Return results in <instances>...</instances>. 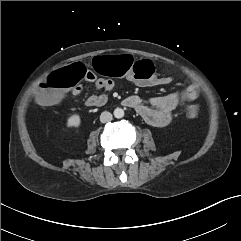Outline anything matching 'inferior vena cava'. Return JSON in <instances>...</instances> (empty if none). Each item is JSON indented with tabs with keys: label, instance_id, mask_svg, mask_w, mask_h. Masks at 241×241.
I'll list each match as a JSON object with an SVG mask.
<instances>
[{
	"label": "inferior vena cava",
	"instance_id": "inferior-vena-cava-1",
	"mask_svg": "<svg viewBox=\"0 0 241 241\" xmlns=\"http://www.w3.org/2000/svg\"><path fill=\"white\" fill-rule=\"evenodd\" d=\"M113 118L112 114L110 112H102L101 115H100V121L102 123H107L109 121H111Z\"/></svg>",
	"mask_w": 241,
	"mask_h": 241
}]
</instances>
